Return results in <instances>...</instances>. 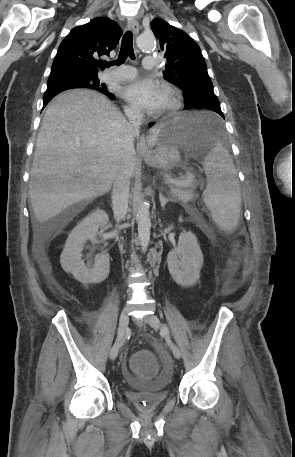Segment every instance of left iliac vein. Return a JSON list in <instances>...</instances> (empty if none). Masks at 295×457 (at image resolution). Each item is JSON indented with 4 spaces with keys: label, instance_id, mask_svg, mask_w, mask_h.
<instances>
[{
    "label": "left iliac vein",
    "instance_id": "obj_1",
    "mask_svg": "<svg viewBox=\"0 0 295 457\" xmlns=\"http://www.w3.org/2000/svg\"><path fill=\"white\" fill-rule=\"evenodd\" d=\"M145 321L151 326L153 327L154 329H160L161 328V324H160V320L158 319L157 316L155 315H149V316H146L145 317ZM170 348H171V351L173 353V355L179 359L181 357V353H180V350L178 349V347L170 342Z\"/></svg>",
    "mask_w": 295,
    "mask_h": 457
}]
</instances>
